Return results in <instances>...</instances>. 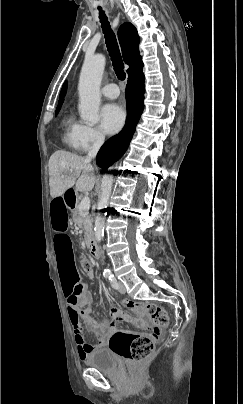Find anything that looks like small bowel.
<instances>
[{
	"label": "small bowel",
	"instance_id": "small-bowel-1",
	"mask_svg": "<svg viewBox=\"0 0 243 404\" xmlns=\"http://www.w3.org/2000/svg\"><path fill=\"white\" fill-rule=\"evenodd\" d=\"M50 222L54 233V249L63 293L66 298L68 315L74 329L78 355L81 359H85L91 350L106 345L108 338L115 332V324H94L91 320L88 308L90 298L87 287L80 281L75 267L72 243L68 234V206L64 193L55 195L51 199ZM93 276V272L90 271L88 277L93 278ZM111 314L114 319L121 317L120 310L115 306H112ZM81 319L85 322L87 329L95 335L97 339L96 346L86 342Z\"/></svg>",
	"mask_w": 243,
	"mask_h": 404
}]
</instances>
